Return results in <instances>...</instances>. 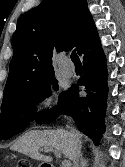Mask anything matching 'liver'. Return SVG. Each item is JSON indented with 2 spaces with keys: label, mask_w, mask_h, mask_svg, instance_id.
Listing matches in <instances>:
<instances>
[{
  "label": "liver",
  "mask_w": 125,
  "mask_h": 167,
  "mask_svg": "<svg viewBox=\"0 0 125 167\" xmlns=\"http://www.w3.org/2000/svg\"><path fill=\"white\" fill-rule=\"evenodd\" d=\"M41 147L54 148L70 160H74V141L70 132L64 129L29 131L22 135L11 148L32 159L50 162L52 157L40 154Z\"/></svg>",
  "instance_id": "liver-1"
}]
</instances>
